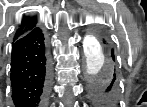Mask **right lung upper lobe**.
Instances as JSON below:
<instances>
[{
  "mask_svg": "<svg viewBox=\"0 0 147 107\" xmlns=\"http://www.w3.org/2000/svg\"><path fill=\"white\" fill-rule=\"evenodd\" d=\"M37 19L35 17H25L21 24L18 26V29L16 30L14 41L19 39L20 37L24 36L28 32L32 31L36 28Z\"/></svg>",
  "mask_w": 147,
  "mask_h": 107,
  "instance_id": "1",
  "label": "right lung upper lobe"
}]
</instances>
